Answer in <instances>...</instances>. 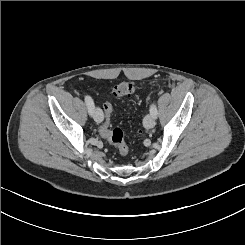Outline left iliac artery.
<instances>
[{
  "label": "left iliac artery",
  "mask_w": 245,
  "mask_h": 245,
  "mask_svg": "<svg viewBox=\"0 0 245 245\" xmlns=\"http://www.w3.org/2000/svg\"><path fill=\"white\" fill-rule=\"evenodd\" d=\"M150 114H151L154 118L157 117V114H158V112H157V107H156V105H155L154 103L151 104V106H150Z\"/></svg>",
  "instance_id": "left-iliac-artery-1"
}]
</instances>
